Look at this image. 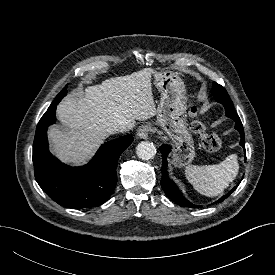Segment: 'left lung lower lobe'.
<instances>
[{"label":"left lung lower lobe","instance_id":"left-lung-lower-lobe-1","mask_svg":"<svg viewBox=\"0 0 275 275\" xmlns=\"http://www.w3.org/2000/svg\"><path fill=\"white\" fill-rule=\"evenodd\" d=\"M221 104L225 107V112L226 115L230 118H232L235 121V129L240 133L241 139H240V145L244 148V129L243 125L241 123V120L239 116L237 115L233 103H230L228 101H222ZM160 151L162 153V158H163V164L161 167V172H162V179H161V187L164 190L165 194L167 195L168 198L172 199L174 202H176L179 206H184V207H191V208H199L200 206L194 205L188 200H186L176 184L171 181L168 177L167 174V156L169 152L171 151L170 145H162L160 147ZM246 160V158H245ZM239 185V184H238ZM236 185L234 188H232L226 195L222 196L217 202H222L225 200L227 197L230 196V194L237 188Z\"/></svg>","mask_w":275,"mask_h":275}]
</instances>
